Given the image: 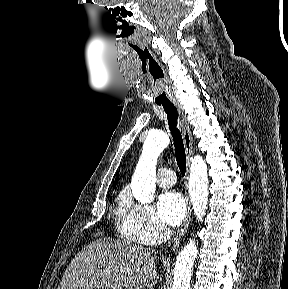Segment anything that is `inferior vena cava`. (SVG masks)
<instances>
[{"mask_svg": "<svg viewBox=\"0 0 288 289\" xmlns=\"http://www.w3.org/2000/svg\"><path fill=\"white\" fill-rule=\"evenodd\" d=\"M171 230L169 229V228H164L163 230H162V238L164 239V240H167V239H169L170 237H171Z\"/></svg>", "mask_w": 288, "mask_h": 289, "instance_id": "602c4592", "label": "inferior vena cava"}]
</instances>
